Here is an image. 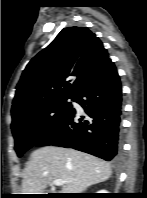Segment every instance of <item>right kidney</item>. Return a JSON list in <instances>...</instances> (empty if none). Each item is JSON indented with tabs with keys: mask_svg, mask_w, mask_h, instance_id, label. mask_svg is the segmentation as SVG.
<instances>
[{
	"mask_svg": "<svg viewBox=\"0 0 147 198\" xmlns=\"http://www.w3.org/2000/svg\"><path fill=\"white\" fill-rule=\"evenodd\" d=\"M97 193H108V191H106V190H101V191H97Z\"/></svg>",
	"mask_w": 147,
	"mask_h": 198,
	"instance_id": "ca27d5eb",
	"label": "right kidney"
}]
</instances>
